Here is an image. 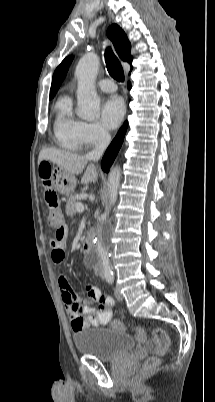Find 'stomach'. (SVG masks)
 <instances>
[{
	"label": "stomach",
	"instance_id": "obj_1",
	"mask_svg": "<svg viewBox=\"0 0 215 402\" xmlns=\"http://www.w3.org/2000/svg\"><path fill=\"white\" fill-rule=\"evenodd\" d=\"M50 180L55 190L66 196H70L76 187L75 176L60 167H52Z\"/></svg>",
	"mask_w": 215,
	"mask_h": 402
}]
</instances>
